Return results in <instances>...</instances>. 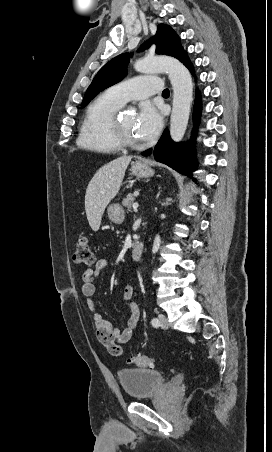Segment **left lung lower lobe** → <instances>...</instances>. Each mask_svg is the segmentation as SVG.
Segmentation results:
<instances>
[{
	"mask_svg": "<svg viewBox=\"0 0 272 452\" xmlns=\"http://www.w3.org/2000/svg\"><path fill=\"white\" fill-rule=\"evenodd\" d=\"M180 61L193 73V67L187 57V54H185ZM200 108V95L197 92L193 114L196 122L200 116ZM195 134L196 130H194L192 134L190 143L186 145L173 142L169 136V131L166 129L160 141L154 148L155 160L170 166L182 174L191 175V173L196 170L197 165L195 154ZM149 152L150 150L146 151L144 154L147 155Z\"/></svg>",
	"mask_w": 272,
	"mask_h": 452,
	"instance_id": "left-lung-lower-lobe-1",
	"label": "left lung lower lobe"
}]
</instances>
